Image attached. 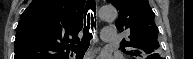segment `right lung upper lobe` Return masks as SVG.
<instances>
[{
  "label": "right lung upper lobe",
  "mask_w": 193,
  "mask_h": 59,
  "mask_svg": "<svg viewBox=\"0 0 193 59\" xmlns=\"http://www.w3.org/2000/svg\"><path fill=\"white\" fill-rule=\"evenodd\" d=\"M85 0H33L17 26L14 59H68L79 40Z\"/></svg>",
  "instance_id": "obj_1"
}]
</instances>
